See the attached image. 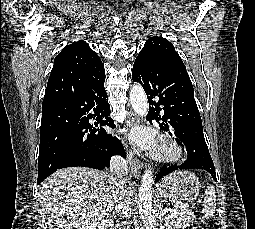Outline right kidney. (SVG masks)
<instances>
[{
    "label": "right kidney",
    "instance_id": "right-kidney-1",
    "mask_svg": "<svg viewBox=\"0 0 255 229\" xmlns=\"http://www.w3.org/2000/svg\"><path fill=\"white\" fill-rule=\"evenodd\" d=\"M114 224L112 219H103L101 222H94L88 226H86L85 229H108L112 227Z\"/></svg>",
    "mask_w": 255,
    "mask_h": 229
}]
</instances>
